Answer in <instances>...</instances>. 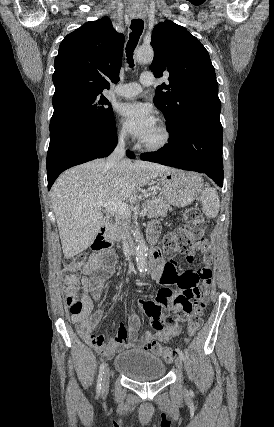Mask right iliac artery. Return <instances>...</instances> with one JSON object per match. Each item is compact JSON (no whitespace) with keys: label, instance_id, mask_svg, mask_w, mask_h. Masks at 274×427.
<instances>
[{"label":"right iliac artery","instance_id":"obj_1","mask_svg":"<svg viewBox=\"0 0 274 427\" xmlns=\"http://www.w3.org/2000/svg\"><path fill=\"white\" fill-rule=\"evenodd\" d=\"M105 367H106V363L103 362L100 365L99 375H98V378H97V386H96L97 397H99V395L101 393V385H102V379H103Z\"/></svg>","mask_w":274,"mask_h":427}]
</instances>
